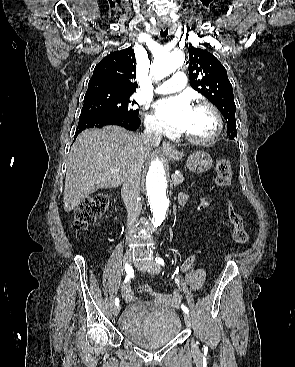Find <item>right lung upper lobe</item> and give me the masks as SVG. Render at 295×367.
<instances>
[{
    "label": "right lung upper lobe",
    "instance_id": "right-lung-upper-lobe-1",
    "mask_svg": "<svg viewBox=\"0 0 295 367\" xmlns=\"http://www.w3.org/2000/svg\"><path fill=\"white\" fill-rule=\"evenodd\" d=\"M135 74L134 50L129 47L115 51L96 65L87 90L101 89L132 95L137 88Z\"/></svg>",
    "mask_w": 295,
    "mask_h": 367
}]
</instances>
